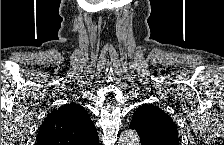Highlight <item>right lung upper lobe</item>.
<instances>
[{"label": "right lung upper lobe", "instance_id": "obj_1", "mask_svg": "<svg viewBox=\"0 0 224 145\" xmlns=\"http://www.w3.org/2000/svg\"><path fill=\"white\" fill-rule=\"evenodd\" d=\"M37 145H98L95 125L87 111L75 103L53 110L37 134Z\"/></svg>", "mask_w": 224, "mask_h": 145}]
</instances>
